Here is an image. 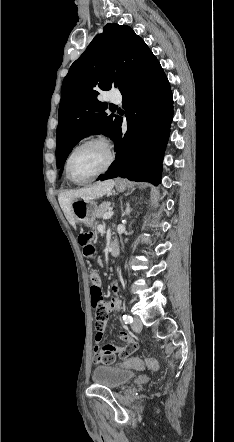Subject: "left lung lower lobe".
I'll return each instance as SVG.
<instances>
[{
	"label": "left lung lower lobe",
	"instance_id": "obj_1",
	"mask_svg": "<svg viewBox=\"0 0 234 442\" xmlns=\"http://www.w3.org/2000/svg\"><path fill=\"white\" fill-rule=\"evenodd\" d=\"M121 94L128 129L123 135L122 118L114 139L116 159L105 175L131 181H161L162 160L173 119V96L165 73L153 53L137 78Z\"/></svg>",
	"mask_w": 234,
	"mask_h": 442
}]
</instances>
